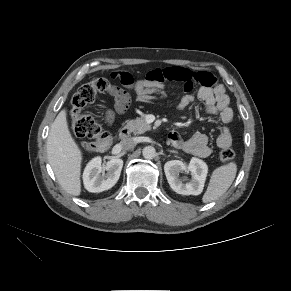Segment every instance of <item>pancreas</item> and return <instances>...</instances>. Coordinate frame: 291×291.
Here are the masks:
<instances>
[{
	"label": "pancreas",
	"instance_id": "obj_1",
	"mask_svg": "<svg viewBox=\"0 0 291 291\" xmlns=\"http://www.w3.org/2000/svg\"><path fill=\"white\" fill-rule=\"evenodd\" d=\"M126 127L134 134H142L151 129V125L143 117L128 121Z\"/></svg>",
	"mask_w": 291,
	"mask_h": 291
}]
</instances>
